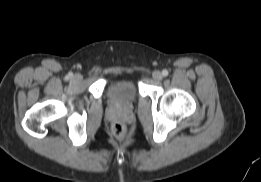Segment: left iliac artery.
<instances>
[{
    "label": "left iliac artery",
    "instance_id": "1",
    "mask_svg": "<svg viewBox=\"0 0 261 182\" xmlns=\"http://www.w3.org/2000/svg\"><path fill=\"white\" fill-rule=\"evenodd\" d=\"M168 74H169V73H168V71H167L166 69L162 71V75H163V76H167Z\"/></svg>",
    "mask_w": 261,
    "mask_h": 182
}]
</instances>
